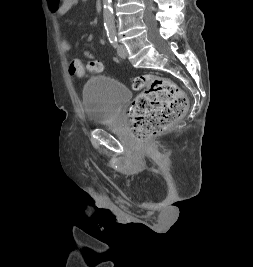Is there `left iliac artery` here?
Instances as JSON below:
<instances>
[{"mask_svg": "<svg viewBox=\"0 0 253 267\" xmlns=\"http://www.w3.org/2000/svg\"><path fill=\"white\" fill-rule=\"evenodd\" d=\"M106 32H107V36H108V39H109L110 43L113 45V47L116 48V46H117V36H116L115 29L112 28V27H106Z\"/></svg>", "mask_w": 253, "mask_h": 267, "instance_id": "obj_1", "label": "left iliac artery"}]
</instances>
